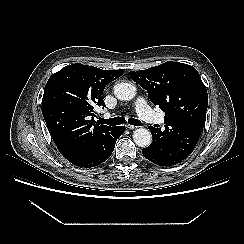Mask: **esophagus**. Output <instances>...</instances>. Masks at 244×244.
I'll return each instance as SVG.
<instances>
[{"instance_id":"obj_1","label":"esophagus","mask_w":244,"mask_h":244,"mask_svg":"<svg viewBox=\"0 0 244 244\" xmlns=\"http://www.w3.org/2000/svg\"><path fill=\"white\" fill-rule=\"evenodd\" d=\"M126 128H128V129H130V130H133V129L137 128V127L134 126V125L127 124V125H126Z\"/></svg>"}]
</instances>
